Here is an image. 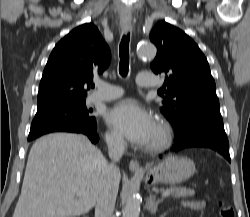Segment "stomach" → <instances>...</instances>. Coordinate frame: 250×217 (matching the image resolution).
<instances>
[{
    "label": "stomach",
    "instance_id": "stomach-1",
    "mask_svg": "<svg viewBox=\"0 0 250 217\" xmlns=\"http://www.w3.org/2000/svg\"><path fill=\"white\" fill-rule=\"evenodd\" d=\"M195 170V164L191 159L172 156L150 168L145 180L151 184H179L193 176Z\"/></svg>",
    "mask_w": 250,
    "mask_h": 217
}]
</instances>
